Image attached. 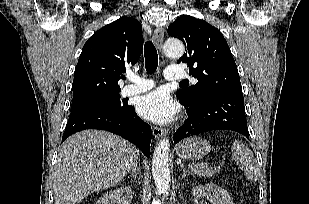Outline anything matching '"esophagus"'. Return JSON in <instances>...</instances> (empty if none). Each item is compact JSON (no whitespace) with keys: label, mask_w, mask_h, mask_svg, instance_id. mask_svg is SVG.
<instances>
[{"label":"esophagus","mask_w":309,"mask_h":204,"mask_svg":"<svg viewBox=\"0 0 309 204\" xmlns=\"http://www.w3.org/2000/svg\"><path fill=\"white\" fill-rule=\"evenodd\" d=\"M163 38H164V29L162 27H157L153 31L152 39L156 47L159 49L162 58H163L162 54ZM152 133L155 136V138H162L164 136V129L154 126L152 127Z\"/></svg>","instance_id":"1"}]
</instances>
